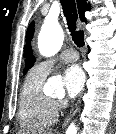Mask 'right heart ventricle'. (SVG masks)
<instances>
[{
  "instance_id": "1",
  "label": "right heart ventricle",
  "mask_w": 116,
  "mask_h": 134,
  "mask_svg": "<svg viewBox=\"0 0 116 134\" xmlns=\"http://www.w3.org/2000/svg\"><path fill=\"white\" fill-rule=\"evenodd\" d=\"M46 76L33 67L23 82L18 118L21 126L26 129H44L49 127L57 117L54 101L43 92Z\"/></svg>"
}]
</instances>
